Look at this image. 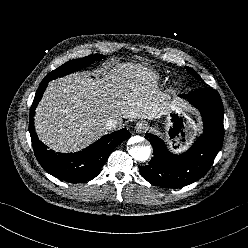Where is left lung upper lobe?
Instances as JSON below:
<instances>
[{
	"instance_id": "left-lung-upper-lobe-1",
	"label": "left lung upper lobe",
	"mask_w": 248,
	"mask_h": 248,
	"mask_svg": "<svg viewBox=\"0 0 248 248\" xmlns=\"http://www.w3.org/2000/svg\"><path fill=\"white\" fill-rule=\"evenodd\" d=\"M186 69L188 70V72L193 75L195 78L200 79V76L190 67H186Z\"/></svg>"
}]
</instances>
